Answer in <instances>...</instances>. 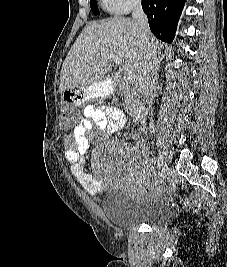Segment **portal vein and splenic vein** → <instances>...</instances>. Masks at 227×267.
<instances>
[{"label":"portal vein and splenic vein","mask_w":227,"mask_h":267,"mask_svg":"<svg viewBox=\"0 0 227 267\" xmlns=\"http://www.w3.org/2000/svg\"><path fill=\"white\" fill-rule=\"evenodd\" d=\"M115 63L122 64V61L119 59H116ZM123 78L127 83L132 84L135 80V75L132 73V71L125 69L123 73Z\"/></svg>","instance_id":"1"}]
</instances>
